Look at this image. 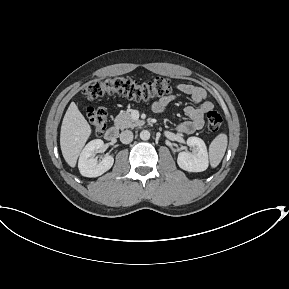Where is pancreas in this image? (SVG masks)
Listing matches in <instances>:
<instances>
[{
  "label": "pancreas",
  "instance_id": "obj_1",
  "mask_svg": "<svg viewBox=\"0 0 289 289\" xmlns=\"http://www.w3.org/2000/svg\"><path fill=\"white\" fill-rule=\"evenodd\" d=\"M141 124L140 120H134L127 111H121L114 119V126L117 129L134 128Z\"/></svg>",
  "mask_w": 289,
  "mask_h": 289
}]
</instances>
